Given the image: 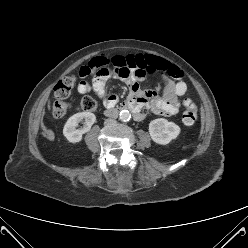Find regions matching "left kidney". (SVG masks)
<instances>
[{
	"label": "left kidney",
	"mask_w": 248,
	"mask_h": 248,
	"mask_svg": "<svg viewBox=\"0 0 248 248\" xmlns=\"http://www.w3.org/2000/svg\"><path fill=\"white\" fill-rule=\"evenodd\" d=\"M180 127L174 122H169L164 118H158L150 122L149 134L151 139L157 144L166 145L180 134Z\"/></svg>",
	"instance_id": "1"
}]
</instances>
